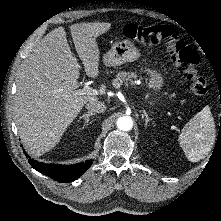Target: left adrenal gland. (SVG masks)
<instances>
[{"label":"left adrenal gland","instance_id":"1","mask_svg":"<svg viewBox=\"0 0 221 221\" xmlns=\"http://www.w3.org/2000/svg\"><path fill=\"white\" fill-rule=\"evenodd\" d=\"M143 113H144L143 116L145 117V127H147L148 123H149L150 121H152V119L149 118V116L147 115L146 111H143Z\"/></svg>","mask_w":221,"mask_h":221}]
</instances>
